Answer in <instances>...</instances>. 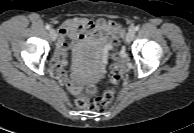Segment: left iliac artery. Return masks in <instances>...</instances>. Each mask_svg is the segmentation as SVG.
<instances>
[{"label": "left iliac artery", "mask_w": 194, "mask_h": 133, "mask_svg": "<svg viewBox=\"0 0 194 133\" xmlns=\"http://www.w3.org/2000/svg\"><path fill=\"white\" fill-rule=\"evenodd\" d=\"M139 28H140L139 26H136V27L134 28V30H135V31H138Z\"/></svg>", "instance_id": "left-iliac-artery-1"}]
</instances>
